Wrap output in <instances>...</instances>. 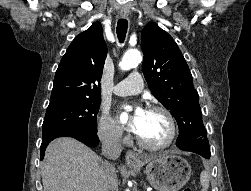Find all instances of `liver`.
Instances as JSON below:
<instances>
[{"instance_id":"1","label":"liver","mask_w":251,"mask_h":191,"mask_svg":"<svg viewBox=\"0 0 251 191\" xmlns=\"http://www.w3.org/2000/svg\"><path fill=\"white\" fill-rule=\"evenodd\" d=\"M112 163L74 137H57L46 147L41 175L44 191H117Z\"/></svg>"}]
</instances>
